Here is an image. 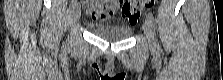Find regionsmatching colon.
Returning <instances> with one entry per match:
<instances>
[{
    "mask_svg": "<svg viewBox=\"0 0 223 80\" xmlns=\"http://www.w3.org/2000/svg\"><path fill=\"white\" fill-rule=\"evenodd\" d=\"M154 0H131V1H116L105 0L91 3H105L107 5H113L116 11H120L121 14L129 20L130 23H136L140 12L144 8H150L154 5Z\"/></svg>",
    "mask_w": 223,
    "mask_h": 80,
    "instance_id": "obj_1",
    "label": "colon"
}]
</instances>
